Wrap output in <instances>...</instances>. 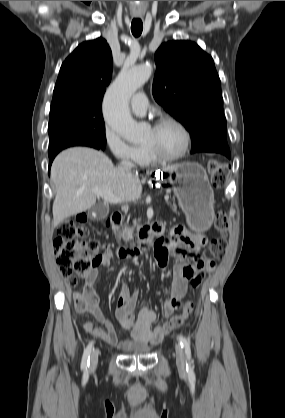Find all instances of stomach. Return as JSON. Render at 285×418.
Returning <instances> with one entry per match:
<instances>
[{"label":"stomach","instance_id":"1","mask_svg":"<svg viewBox=\"0 0 285 418\" xmlns=\"http://www.w3.org/2000/svg\"><path fill=\"white\" fill-rule=\"evenodd\" d=\"M163 178L173 185L189 227L198 232L207 230L214 216V195L203 166L195 162L176 164L163 173Z\"/></svg>","mask_w":285,"mask_h":418}]
</instances>
